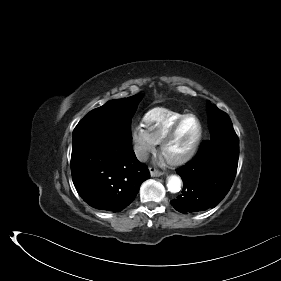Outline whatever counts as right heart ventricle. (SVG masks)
<instances>
[{"instance_id": "right-heart-ventricle-1", "label": "right heart ventricle", "mask_w": 281, "mask_h": 281, "mask_svg": "<svg viewBox=\"0 0 281 281\" xmlns=\"http://www.w3.org/2000/svg\"><path fill=\"white\" fill-rule=\"evenodd\" d=\"M186 113L164 107L149 110L143 117V126L150 138L159 143L172 125Z\"/></svg>"}]
</instances>
